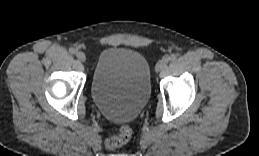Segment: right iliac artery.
<instances>
[{"label":"right iliac artery","mask_w":259,"mask_h":156,"mask_svg":"<svg viewBox=\"0 0 259 156\" xmlns=\"http://www.w3.org/2000/svg\"><path fill=\"white\" fill-rule=\"evenodd\" d=\"M69 53H70V54H75V53H76V50H75L74 48H70V49H69Z\"/></svg>","instance_id":"right-iliac-artery-1"}]
</instances>
